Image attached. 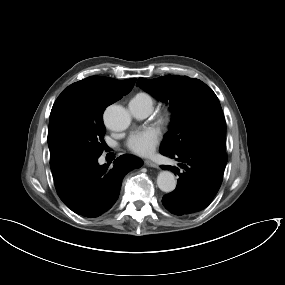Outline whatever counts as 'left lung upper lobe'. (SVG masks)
Masks as SVG:
<instances>
[{
  "mask_svg": "<svg viewBox=\"0 0 285 285\" xmlns=\"http://www.w3.org/2000/svg\"><path fill=\"white\" fill-rule=\"evenodd\" d=\"M137 85L170 104V130L160 153L175 154L198 148L226 152L223 111L217 96L205 83L187 76L167 75L139 78Z\"/></svg>",
  "mask_w": 285,
  "mask_h": 285,
  "instance_id": "obj_1",
  "label": "left lung upper lobe"
}]
</instances>
